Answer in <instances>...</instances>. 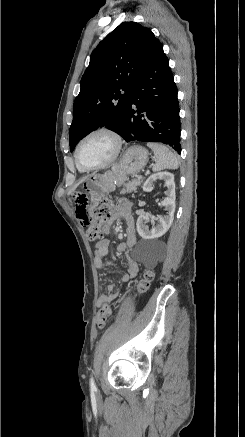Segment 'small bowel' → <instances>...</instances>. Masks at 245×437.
Segmentation results:
<instances>
[{
  "mask_svg": "<svg viewBox=\"0 0 245 437\" xmlns=\"http://www.w3.org/2000/svg\"><path fill=\"white\" fill-rule=\"evenodd\" d=\"M77 206L75 214L77 218L78 224H82L85 229H88L91 226V215L89 208H86L88 202L86 199H79L78 202L73 203ZM116 218H123L126 222V239L124 242H121L117 250L119 253H128L131 251L136 243V232H135V223L134 218L131 213V204L126 201H120L115 207L113 211V215L111 219L107 220L103 226V232L108 233L112 221ZM109 253V241L107 239H102L98 241L95 245V255H94V264L96 268H103L104 266H114V264L110 261H106L105 258ZM139 270L137 260L133 258L128 259L127 266L125 268L124 275L120 279L122 282H127L130 279H133L137 276ZM120 292V289L114 290L113 285L107 286L103 292L100 294L98 298V304L101 305L107 301H109L112 297L116 296Z\"/></svg>",
  "mask_w": 245,
  "mask_h": 437,
  "instance_id": "c3829d8e",
  "label": "small bowel"
}]
</instances>
